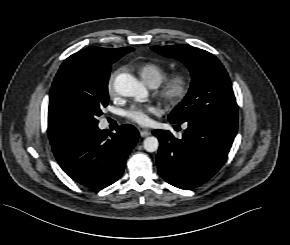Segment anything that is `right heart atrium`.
<instances>
[{
    "mask_svg": "<svg viewBox=\"0 0 290 245\" xmlns=\"http://www.w3.org/2000/svg\"><path fill=\"white\" fill-rule=\"evenodd\" d=\"M117 75V72H115L109 79V82H108V86H107V89H108V93L109 95H115L116 94V88H115V77Z\"/></svg>",
    "mask_w": 290,
    "mask_h": 245,
    "instance_id": "right-heart-atrium-1",
    "label": "right heart atrium"
}]
</instances>
